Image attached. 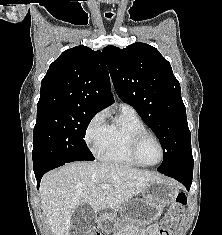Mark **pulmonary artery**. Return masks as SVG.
<instances>
[{
	"mask_svg": "<svg viewBox=\"0 0 222 235\" xmlns=\"http://www.w3.org/2000/svg\"><path fill=\"white\" fill-rule=\"evenodd\" d=\"M120 108L125 109V110H133L134 111V109L130 105L125 104V103H121Z\"/></svg>",
	"mask_w": 222,
	"mask_h": 235,
	"instance_id": "e3ab8cb5",
	"label": "pulmonary artery"
}]
</instances>
